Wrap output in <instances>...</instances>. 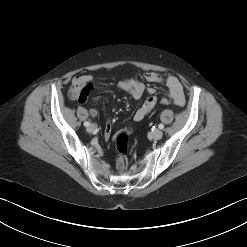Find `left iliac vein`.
<instances>
[{"label":"left iliac vein","instance_id":"1","mask_svg":"<svg viewBox=\"0 0 247 247\" xmlns=\"http://www.w3.org/2000/svg\"><path fill=\"white\" fill-rule=\"evenodd\" d=\"M152 136L155 139H160L163 136V131L160 130V129H156V130L153 131Z\"/></svg>","mask_w":247,"mask_h":247}]
</instances>
